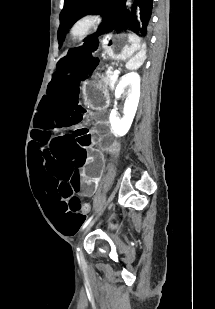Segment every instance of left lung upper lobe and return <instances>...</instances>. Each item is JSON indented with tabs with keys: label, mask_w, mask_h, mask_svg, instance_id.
<instances>
[{
	"label": "left lung upper lobe",
	"mask_w": 215,
	"mask_h": 309,
	"mask_svg": "<svg viewBox=\"0 0 215 309\" xmlns=\"http://www.w3.org/2000/svg\"><path fill=\"white\" fill-rule=\"evenodd\" d=\"M153 0H135L130 7L126 0H64L60 14L61 25L58 30L59 46L62 45L65 32L82 16L88 13H100L104 22L91 39L117 30H129L140 36L148 34L152 14Z\"/></svg>",
	"instance_id": "5c2ea615"
}]
</instances>
